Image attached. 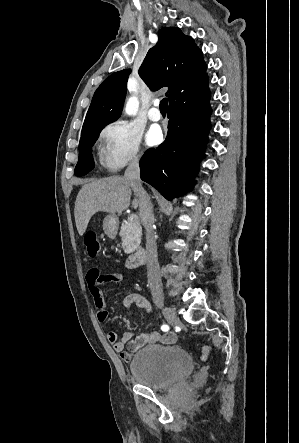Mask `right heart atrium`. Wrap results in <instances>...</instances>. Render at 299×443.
Here are the masks:
<instances>
[{"label":"right heart atrium","mask_w":299,"mask_h":443,"mask_svg":"<svg viewBox=\"0 0 299 443\" xmlns=\"http://www.w3.org/2000/svg\"><path fill=\"white\" fill-rule=\"evenodd\" d=\"M99 139L103 163L111 170L137 164L142 157L141 133L127 121L117 120L106 125Z\"/></svg>","instance_id":"d8ad5b80"}]
</instances>
